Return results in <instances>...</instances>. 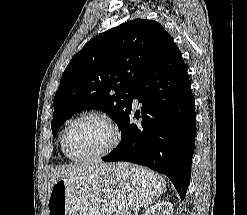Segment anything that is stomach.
I'll return each mask as SVG.
<instances>
[{
	"label": "stomach",
	"mask_w": 247,
	"mask_h": 215,
	"mask_svg": "<svg viewBox=\"0 0 247 215\" xmlns=\"http://www.w3.org/2000/svg\"><path fill=\"white\" fill-rule=\"evenodd\" d=\"M164 187L163 178L146 168L108 164L85 180H57L48 197L47 215H115L152 204Z\"/></svg>",
	"instance_id": "1"
}]
</instances>
